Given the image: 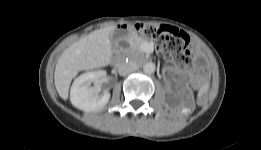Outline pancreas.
<instances>
[{
    "mask_svg": "<svg viewBox=\"0 0 261 150\" xmlns=\"http://www.w3.org/2000/svg\"><path fill=\"white\" fill-rule=\"evenodd\" d=\"M147 41H145V40H143V39H140V38H136L135 40H134V45H135V48L137 49V51H138V54L140 55V56H144V53L140 50V46H141V44H143V43H146Z\"/></svg>",
    "mask_w": 261,
    "mask_h": 150,
    "instance_id": "pancreas-1",
    "label": "pancreas"
}]
</instances>
